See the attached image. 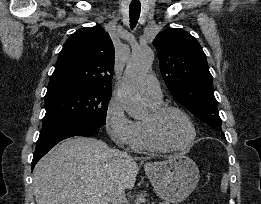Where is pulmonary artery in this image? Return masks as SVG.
Wrapping results in <instances>:
<instances>
[{
	"mask_svg": "<svg viewBox=\"0 0 261 204\" xmlns=\"http://www.w3.org/2000/svg\"><path fill=\"white\" fill-rule=\"evenodd\" d=\"M139 89L147 101H161L162 93L158 81L152 75H147L139 82Z\"/></svg>",
	"mask_w": 261,
	"mask_h": 204,
	"instance_id": "e3ab8cb5",
	"label": "pulmonary artery"
}]
</instances>
